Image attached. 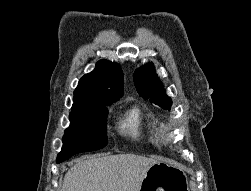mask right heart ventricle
Listing matches in <instances>:
<instances>
[{
  "instance_id": "e07e8e85",
  "label": "right heart ventricle",
  "mask_w": 251,
  "mask_h": 191,
  "mask_svg": "<svg viewBox=\"0 0 251 191\" xmlns=\"http://www.w3.org/2000/svg\"><path fill=\"white\" fill-rule=\"evenodd\" d=\"M118 133L130 140L140 144H152L153 133L149 121L143 109L137 105H131L117 123Z\"/></svg>"
}]
</instances>
